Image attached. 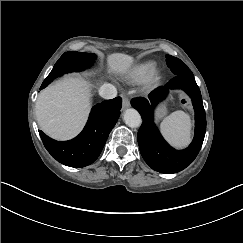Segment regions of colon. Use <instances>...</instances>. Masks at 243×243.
Instances as JSON below:
<instances>
[{
	"label": "colon",
	"mask_w": 243,
	"mask_h": 243,
	"mask_svg": "<svg viewBox=\"0 0 243 243\" xmlns=\"http://www.w3.org/2000/svg\"><path fill=\"white\" fill-rule=\"evenodd\" d=\"M182 103H186V99L185 98H183Z\"/></svg>",
	"instance_id": "1"
}]
</instances>
